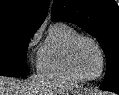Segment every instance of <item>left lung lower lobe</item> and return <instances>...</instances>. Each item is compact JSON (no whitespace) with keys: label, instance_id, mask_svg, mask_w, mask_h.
Instances as JSON below:
<instances>
[{"label":"left lung lower lobe","instance_id":"0a47b994","mask_svg":"<svg viewBox=\"0 0 119 95\" xmlns=\"http://www.w3.org/2000/svg\"><path fill=\"white\" fill-rule=\"evenodd\" d=\"M103 90V89H102ZM109 91V90H108ZM113 92H116L117 94H119V89H114L112 90Z\"/></svg>","mask_w":119,"mask_h":95}]
</instances>
